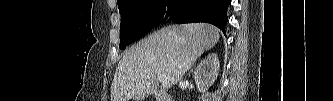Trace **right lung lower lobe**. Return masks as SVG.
Masks as SVG:
<instances>
[{"label":"right lung lower lobe","instance_id":"1","mask_svg":"<svg viewBox=\"0 0 333 101\" xmlns=\"http://www.w3.org/2000/svg\"><path fill=\"white\" fill-rule=\"evenodd\" d=\"M230 3L231 0H172L168 9L176 23L206 22L224 32Z\"/></svg>","mask_w":333,"mask_h":101}]
</instances>
